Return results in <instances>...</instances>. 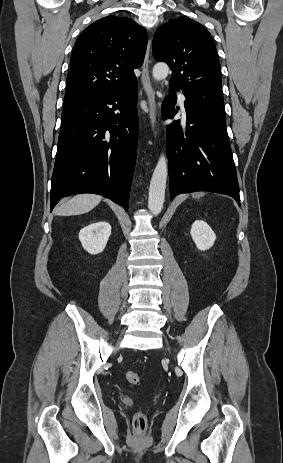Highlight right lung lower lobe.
Segmentation results:
<instances>
[{"mask_svg":"<svg viewBox=\"0 0 283 463\" xmlns=\"http://www.w3.org/2000/svg\"><path fill=\"white\" fill-rule=\"evenodd\" d=\"M137 82L62 113L51 179V210L62 197L95 193L128 210L135 167Z\"/></svg>","mask_w":283,"mask_h":463,"instance_id":"obj_1","label":"right lung lower lobe"}]
</instances>
